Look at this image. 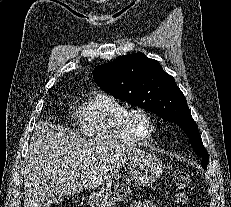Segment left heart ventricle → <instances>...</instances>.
Listing matches in <instances>:
<instances>
[{
    "label": "left heart ventricle",
    "mask_w": 231,
    "mask_h": 207,
    "mask_svg": "<svg viewBox=\"0 0 231 207\" xmlns=\"http://www.w3.org/2000/svg\"><path fill=\"white\" fill-rule=\"evenodd\" d=\"M136 125L142 134L146 135L149 132V125L144 117L138 116L136 118Z\"/></svg>",
    "instance_id": "b2bd125f"
}]
</instances>
